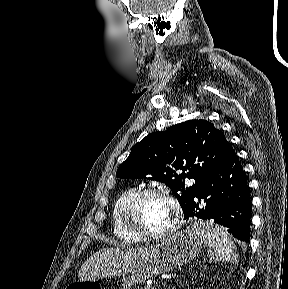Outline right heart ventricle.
I'll return each instance as SVG.
<instances>
[{"label": "right heart ventricle", "instance_id": "right-heart-ventricle-1", "mask_svg": "<svg viewBox=\"0 0 288 289\" xmlns=\"http://www.w3.org/2000/svg\"><path fill=\"white\" fill-rule=\"evenodd\" d=\"M136 191L137 189L135 187H129L123 190L115 199L111 209V223L114 236L125 244H136L140 241V239L125 229L121 218L122 207Z\"/></svg>", "mask_w": 288, "mask_h": 289}]
</instances>
